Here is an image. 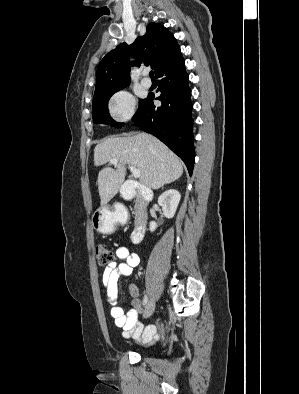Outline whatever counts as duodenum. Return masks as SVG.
Here are the masks:
<instances>
[{"label": "duodenum", "mask_w": 299, "mask_h": 394, "mask_svg": "<svg viewBox=\"0 0 299 394\" xmlns=\"http://www.w3.org/2000/svg\"><path fill=\"white\" fill-rule=\"evenodd\" d=\"M136 190L138 195H139V202H140V208L138 211V216H137V224L136 227L134 228L131 239L134 243L140 242L146 229V223L148 220V216L145 210L146 205L153 199V192L151 189L142 186L140 184L136 185H127L122 188V192L125 194L127 198H131L133 193L132 191Z\"/></svg>", "instance_id": "410a0bca"}]
</instances>
